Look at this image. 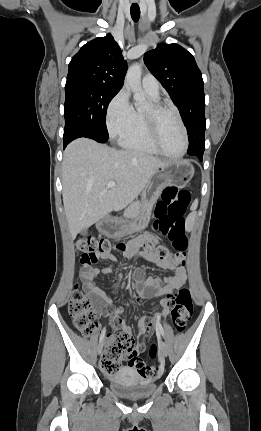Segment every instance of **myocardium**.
I'll return each mask as SVG.
<instances>
[{
    "mask_svg": "<svg viewBox=\"0 0 261 431\" xmlns=\"http://www.w3.org/2000/svg\"><path fill=\"white\" fill-rule=\"evenodd\" d=\"M164 112H172L175 114L177 121L181 127L183 137H184V148L182 152L178 155H170L168 154L163 147L161 146V143L159 141V134H158V117L160 114ZM145 125L148 131V135L150 137L151 142L156 147V149L160 152V154L170 158V159H180L185 156V154L188 151L189 147V137L187 128L185 126V123L179 113V111L171 105L162 104L159 102H154L151 104L150 109L148 111H145L143 113Z\"/></svg>",
    "mask_w": 261,
    "mask_h": 431,
    "instance_id": "1",
    "label": "myocardium"
}]
</instances>
